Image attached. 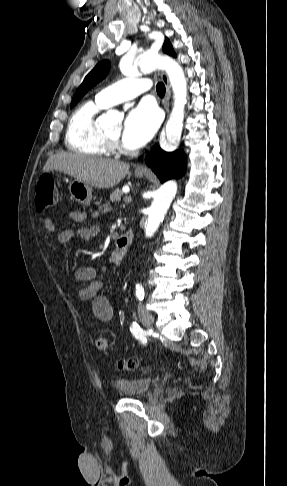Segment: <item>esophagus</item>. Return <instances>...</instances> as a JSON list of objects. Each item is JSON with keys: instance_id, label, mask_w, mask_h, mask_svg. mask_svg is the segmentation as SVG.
<instances>
[{"instance_id": "1", "label": "esophagus", "mask_w": 287, "mask_h": 486, "mask_svg": "<svg viewBox=\"0 0 287 486\" xmlns=\"http://www.w3.org/2000/svg\"><path fill=\"white\" fill-rule=\"evenodd\" d=\"M161 79H162V81L165 85V88H166V94H165V97L163 99V104H164L165 111L168 114L169 113V101H170V84H169V79L164 72L161 73ZM136 171L146 172V171H148V168H147L146 165L140 164L136 167Z\"/></svg>"}]
</instances>
